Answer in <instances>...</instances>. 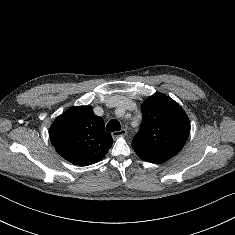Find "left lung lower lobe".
<instances>
[{
  "label": "left lung lower lobe",
  "mask_w": 235,
  "mask_h": 235,
  "mask_svg": "<svg viewBox=\"0 0 235 235\" xmlns=\"http://www.w3.org/2000/svg\"><path fill=\"white\" fill-rule=\"evenodd\" d=\"M144 161H148V162H152V163H162L165 162V160H161V159H142Z\"/></svg>",
  "instance_id": "1"
}]
</instances>
